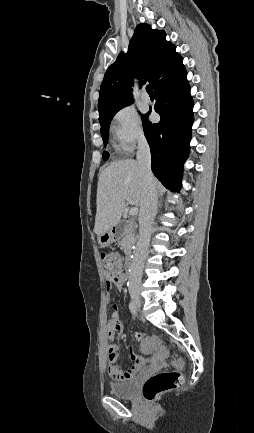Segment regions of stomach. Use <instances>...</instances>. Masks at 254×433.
<instances>
[{
	"label": "stomach",
	"instance_id": "obj_1",
	"mask_svg": "<svg viewBox=\"0 0 254 433\" xmlns=\"http://www.w3.org/2000/svg\"><path fill=\"white\" fill-rule=\"evenodd\" d=\"M116 239V234L109 230L98 236V242L101 246H108Z\"/></svg>",
	"mask_w": 254,
	"mask_h": 433
}]
</instances>
